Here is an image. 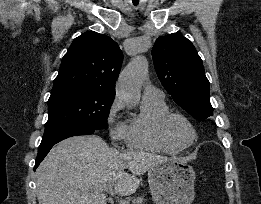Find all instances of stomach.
<instances>
[{
	"label": "stomach",
	"instance_id": "stomach-1",
	"mask_svg": "<svg viewBox=\"0 0 261 204\" xmlns=\"http://www.w3.org/2000/svg\"><path fill=\"white\" fill-rule=\"evenodd\" d=\"M195 172L182 159H169L148 170L150 193L155 204H191L195 197Z\"/></svg>",
	"mask_w": 261,
	"mask_h": 204
}]
</instances>
